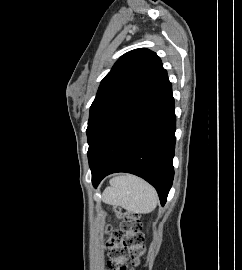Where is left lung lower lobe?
Instances as JSON below:
<instances>
[{"instance_id": "1", "label": "left lung lower lobe", "mask_w": 242, "mask_h": 270, "mask_svg": "<svg viewBox=\"0 0 242 270\" xmlns=\"http://www.w3.org/2000/svg\"><path fill=\"white\" fill-rule=\"evenodd\" d=\"M175 129L172 85L166 76L102 142L90 164L94 187L108 174L132 173L153 185L164 205L174 177Z\"/></svg>"}]
</instances>
